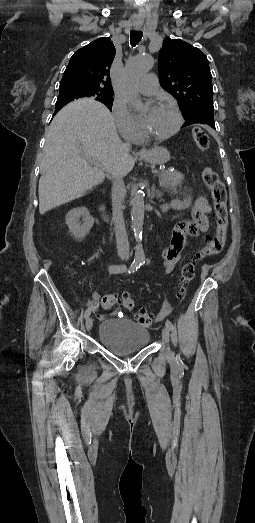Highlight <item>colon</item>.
I'll return each instance as SVG.
<instances>
[{
	"label": "colon",
	"mask_w": 255,
	"mask_h": 523,
	"mask_svg": "<svg viewBox=\"0 0 255 523\" xmlns=\"http://www.w3.org/2000/svg\"><path fill=\"white\" fill-rule=\"evenodd\" d=\"M194 140L200 150H206L209 146L207 134L200 128L193 131ZM204 184L209 190L215 215V231L206 237L205 245L193 253L189 260L183 265L177 286V296L182 298L186 293L187 285L195 275L196 264L207 256L219 254L226 242L228 229V210L227 193L224 183L217 172L211 167H205L202 172ZM101 305L104 309H112L122 305L126 309H133L135 305L134 297L130 293H125L120 301L115 295L107 294L102 297ZM134 318L141 326L149 327L152 324V317L146 312H136Z\"/></svg>",
	"instance_id": "colon-1"
}]
</instances>
